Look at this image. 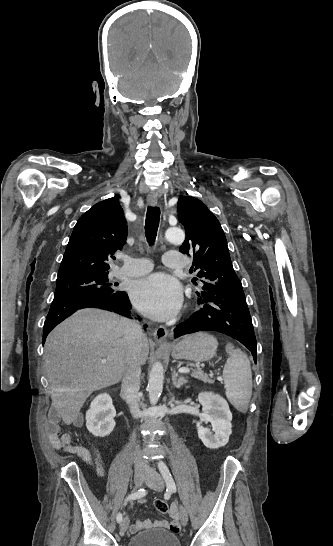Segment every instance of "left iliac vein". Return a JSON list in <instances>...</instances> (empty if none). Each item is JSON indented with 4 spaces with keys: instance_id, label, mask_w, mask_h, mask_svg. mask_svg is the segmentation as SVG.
I'll list each match as a JSON object with an SVG mask.
<instances>
[{
    "instance_id": "4c4485c4",
    "label": "left iliac vein",
    "mask_w": 333,
    "mask_h": 546,
    "mask_svg": "<svg viewBox=\"0 0 333 546\" xmlns=\"http://www.w3.org/2000/svg\"><path fill=\"white\" fill-rule=\"evenodd\" d=\"M146 485L156 491H162L164 488V481L160 474L151 468L146 476ZM179 518L182 526H186L188 523V513L183 505L179 508Z\"/></svg>"
}]
</instances>
